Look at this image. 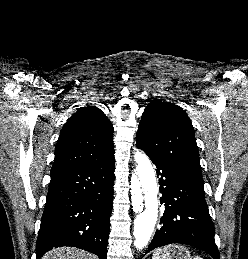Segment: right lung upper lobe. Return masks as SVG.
<instances>
[{"label":"right lung upper lobe","mask_w":248,"mask_h":259,"mask_svg":"<svg viewBox=\"0 0 248 259\" xmlns=\"http://www.w3.org/2000/svg\"><path fill=\"white\" fill-rule=\"evenodd\" d=\"M114 153L113 126L95 106L80 108L63 126L51 172L102 161Z\"/></svg>","instance_id":"1"}]
</instances>
